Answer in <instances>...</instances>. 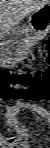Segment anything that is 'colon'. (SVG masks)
<instances>
[{
	"label": "colon",
	"instance_id": "obj_1",
	"mask_svg": "<svg viewBox=\"0 0 50 148\" xmlns=\"http://www.w3.org/2000/svg\"><path fill=\"white\" fill-rule=\"evenodd\" d=\"M50 49V44H46ZM46 62L50 57L45 58ZM1 96L3 99L15 101H48L50 99V72L37 73L15 72L2 70L0 72Z\"/></svg>",
	"mask_w": 50,
	"mask_h": 148
}]
</instances>
